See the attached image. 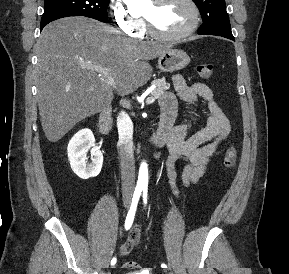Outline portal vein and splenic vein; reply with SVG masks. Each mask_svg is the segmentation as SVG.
<instances>
[{
  "mask_svg": "<svg viewBox=\"0 0 289 274\" xmlns=\"http://www.w3.org/2000/svg\"><path fill=\"white\" fill-rule=\"evenodd\" d=\"M95 69L100 73V75L102 76L103 80H105L109 85H111L113 88L117 89V85L115 83V80L111 77V75L108 73V69L107 68H103V67H95ZM156 100L155 97L150 96L146 99V103L147 104H152L154 103Z\"/></svg>",
  "mask_w": 289,
  "mask_h": 274,
  "instance_id": "18ae733b",
  "label": "portal vein and splenic vein"
}]
</instances>
